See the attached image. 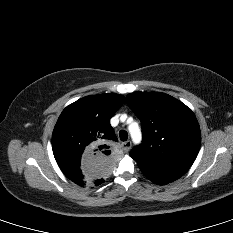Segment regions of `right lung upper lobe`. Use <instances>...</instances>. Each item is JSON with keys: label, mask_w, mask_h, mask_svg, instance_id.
Wrapping results in <instances>:
<instances>
[{"label": "right lung upper lobe", "mask_w": 233, "mask_h": 233, "mask_svg": "<svg viewBox=\"0 0 233 233\" xmlns=\"http://www.w3.org/2000/svg\"><path fill=\"white\" fill-rule=\"evenodd\" d=\"M125 98L107 93L86 96L67 106L52 134L54 157L74 183L93 190L113 180L118 151L109 123Z\"/></svg>", "instance_id": "cb5924a9"}]
</instances>
